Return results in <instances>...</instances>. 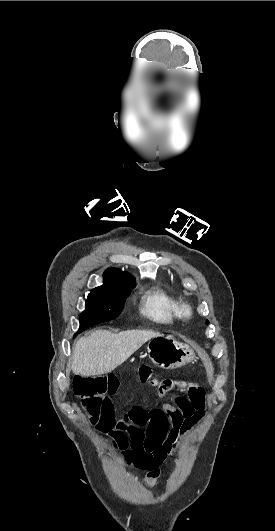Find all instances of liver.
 Wrapping results in <instances>:
<instances>
[{"label":"liver","instance_id":"obj_1","mask_svg":"<svg viewBox=\"0 0 275 531\" xmlns=\"http://www.w3.org/2000/svg\"><path fill=\"white\" fill-rule=\"evenodd\" d=\"M153 337H159V333L133 329L114 335L110 331H95L76 341L71 369L83 377L111 373Z\"/></svg>","mask_w":275,"mask_h":531}]
</instances>
